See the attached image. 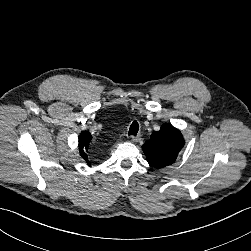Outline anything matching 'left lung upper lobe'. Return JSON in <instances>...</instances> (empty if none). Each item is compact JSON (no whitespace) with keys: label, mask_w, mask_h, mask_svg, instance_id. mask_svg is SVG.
<instances>
[{"label":"left lung upper lobe","mask_w":251,"mask_h":251,"mask_svg":"<svg viewBox=\"0 0 251 251\" xmlns=\"http://www.w3.org/2000/svg\"><path fill=\"white\" fill-rule=\"evenodd\" d=\"M184 144L181 132L171 124H164L152 133L142 149L150 166L163 168L175 162Z\"/></svg>","instance_id":"1"}]
</instances>
